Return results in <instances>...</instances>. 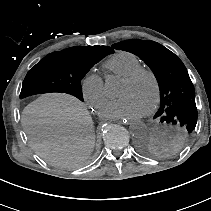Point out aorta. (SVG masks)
I'll return each mask as SVG.
<instances>
[{"mask_svg":"<svg viewBox=\"0 0 211 211\" xmlns=\"http://www.w3.org/2000/svg\"><path fill=\"white\" fill-rule=\"evenodd\" d=\"M122 91V83L116 78H109L105 82V94L109 98H115ZM130 133L135 138H144L147 127L142 121H133L130 124Z\"/></svg>","mask_w":211,"mask_h":211,"instance_id":"obj_1","label":"aorta"}]
</instances>
